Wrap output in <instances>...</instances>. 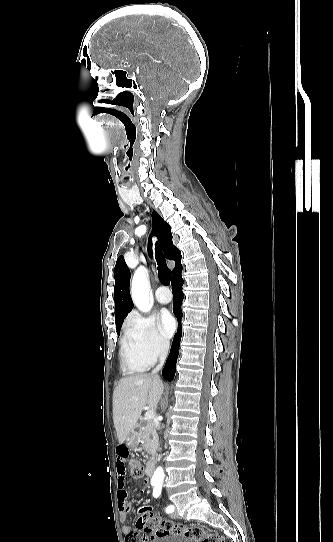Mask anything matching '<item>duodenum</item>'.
Listing matches in <instances>:
<instances>
[{"label":"duodenum","instance_id":"obj_1","mask_svg":"<svg viewBox=\"0 0 333 542\" xmlns=\"http://www.w3.org/2000/svg\"><path fill=\"white\" fill-rule=\"evenodd\" d=\"M154 472V462L152 460H149L146 463L145 473L148 477H151Z\"/></svg>","mask_w":333,"mask_h":542}]
</instances>
